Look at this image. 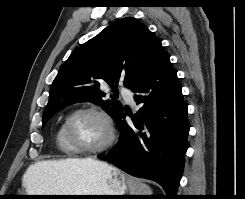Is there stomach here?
Masks as SVG:
<instances>
[{"label":"stomach","instance_id":"stomach-1","mask_svg":"<svg viewBox=\"0 0 245 199\" xmlns=\"http://www.w3.org/2000/svg\"><path fill=\"white\" fill-rule=\"evenodd\" d=\"M98 165H89L73 174L61 176L57 182L64 190L45 195H124L128 187L127 176L107 163L95 160ZM31 195V194H26ZM111 196L36 197L37 199L105 198ZM113 197V196H112Z\"/></svg>","mask_w":245,"mask_h":199}]
</instances>
